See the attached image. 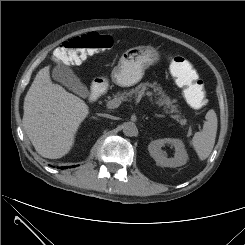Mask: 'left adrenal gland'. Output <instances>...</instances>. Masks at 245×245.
Here are the masks:
<instances>
[{"mask_svg": "<svg viewBox=\"0 0 245 245\" xmlns=\"http://www.w3.org/2000/svg\"><path fill=\"white\" fill-rule=\"evenodd\" d=\"M157 117H162V115H156Z\"/></svg>", "mask_w": 245, "mask_h": 245, "instance_id": "1", "label": "left adrenal gland"}]
</instances>
